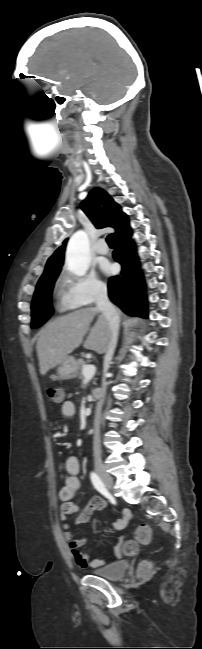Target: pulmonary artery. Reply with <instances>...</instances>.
Instances as JSON below:
<instances>
[{
  "label": "pulmonary artery",
  "instance_id": "obj_1",
  "mask_svg": "<svg viewBox=\"0 0 202 649\" xmlns=\"http://www.w3.org/2000/svg\"><path fill=\"white\" fill-rule=\"evenodd\" d=\"M96 252L101 255H106L109 251L108 246L106 245L103 239H100L95 248Z\"/></svg>",
  "mask_w": 202,
  "mask_h": 649
}]
</instances>
